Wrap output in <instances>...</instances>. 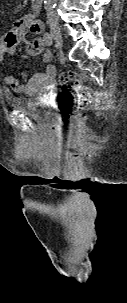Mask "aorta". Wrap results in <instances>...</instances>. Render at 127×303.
<instances>
[{
    "instance_id": "aorta-1",
    "label": "aorta",
    "mask_w": 127,
    "mask_h": 303,
    "mask_svg": "<svg viewBox=\"0 0 127 303\" xmlns=\"http://www.w3.org/2000/svg\"><path fill=\"white\" fill-rule=\"evenodd\" d=\"M57 0H44V3L47 5V6H54L56 4Z\"/></svg>"
}]
</instances>
